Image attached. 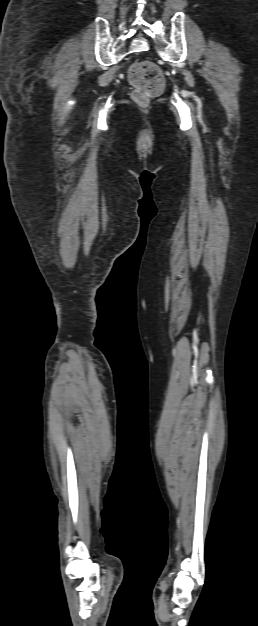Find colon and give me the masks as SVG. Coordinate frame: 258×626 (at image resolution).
<instances>
[{
	"label": "colon",
	"instance_id": "colon-1",
	"mask_svg": "<svg viewBox=\"0 0 258 626\" xmlns=\"http://www.w3.org/2000/svg\"><path fill=\"white\" fill-rule=\"evenodd\" d=\"M129 79L134 87L132 98L141 106L158 96L164 88V77L161 70L150 61H139L132 65Z\"/></svg>",
	"mask_w": 258,
	"mask_h": 626
}]
</instances>
